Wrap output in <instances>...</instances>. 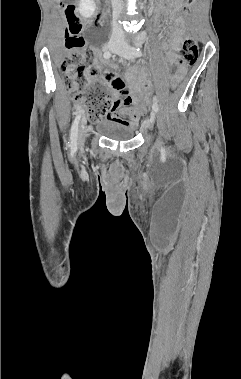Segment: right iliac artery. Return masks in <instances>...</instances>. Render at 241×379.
Segmentation results:
<instances>
[{"label": "right iliac artery", "mask_w": 241, "mask_h": 379, "mask_svg": "<svg viewBox=\"0 0 241 379\" xmlns=\"http://www.w3.org/2000/svg\"><path fill=\"white\" fill-rule=\"evenodd\" d=\"M103 56L105 59H108L111 57V53L109 51H105ZM80 118H81V115L80 114L77 115L71 127V133H70L71 148H76V145H77L78 125H79Z\"/></svg>", "instance_id": "82829eb1"}]
</instances>
